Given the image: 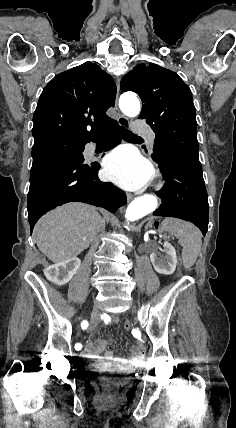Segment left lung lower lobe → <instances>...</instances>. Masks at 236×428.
I'll return each instance as SVG.
<instances>
[{"instance_id": "obj_1", "label": "left lung lower lobe", "mask_w": 236, "mask_h": 428, "mask_svg": "<svg viewBox=\"0 0 236 428\" xmlns=\"http://www.w3.org/2000/svg\"><path fill=\"white\" fill-rule=\"evenodd\" d=\"M159 167L166 184L157 192L162 204L153 214L190 221L205 235L209 204L201 163L167 154Z\"/></svg>"}]
</instances>
